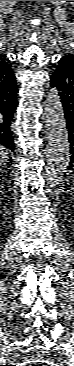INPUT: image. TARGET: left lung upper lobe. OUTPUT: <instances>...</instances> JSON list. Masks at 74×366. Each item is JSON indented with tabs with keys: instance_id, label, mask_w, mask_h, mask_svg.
Here are the masks:
<instances>
[{
	"instance_id": "5c2ea615",
	"label": "left lung upper lobe",
	"mask_w": 74,
	"mask_h": 366,
	"mask_svg": "<svg viewBox=\"0 0 74 366\" xmlns=\"http://www.w3.org/2000/svg\"><path fill=\"white\" fill-rule=\"evenodd\" d=\"M68 56H72V57H74V55H68Z\"/></svg>"
}]
</instances>
